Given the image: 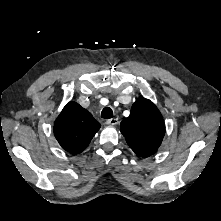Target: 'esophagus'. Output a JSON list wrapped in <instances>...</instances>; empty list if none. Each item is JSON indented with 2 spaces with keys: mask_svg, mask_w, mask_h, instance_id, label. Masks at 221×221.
I'll return each instance as SVG.
<instances>
[{
  "mask_svg": "<svg viewBox=\"0 0 221 221\" xmlns=\"http://www.w3.org/2000/svg\"><path fill=\"white\" fill-rule=\"evenodd\" d=\"M106 124L107 125H116V124H118V119L117 118L108 119L106 121Z\"/></svg>",
  "mask_w": 221,
  "mask_h": 221,
  "instance_id": "1",
  "label": "esophagus"
}]
</instances>
